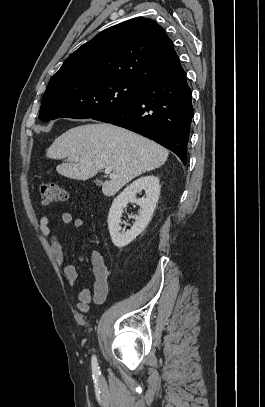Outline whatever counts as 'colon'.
I'll use <instances>...</instances> for the list:
<instances>
[{
	"instance_id": "colon-1",
	"label": "colon",
	"mask_w": 265,
	"mask_h": 407,
	"mask_svg": "<svg viewBox=\"0 0 265 407\" xmlns=\"http://www.w3.org/2000/svg\"><path fill=\"white\" fill-rule=\"evenodd\" d=\"M71 198L70 192L60 185L47 183L40 187V200L43 205H50L57 201H67Z\"/></svg>"
}]
</instances>
